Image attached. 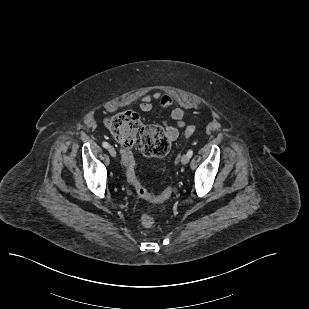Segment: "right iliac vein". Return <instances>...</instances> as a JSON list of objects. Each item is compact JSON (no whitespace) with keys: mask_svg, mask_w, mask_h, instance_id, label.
I'll return each instance as SVG.
<instances>
[{"mask_svg":"<svg viewBox=\"0 0 309 309\" xmlns=\"http://www.w3.org/2000/svg\"><path fill=\"white\" fill-rule=\"evenodd\" d=\"M109 153L112 157H116V150L112 146L109 147Z\"/></svg>","mask_w":309,"mask_h":309,"instance_id":"1","label":"right iliac vein"}]
</instances>
